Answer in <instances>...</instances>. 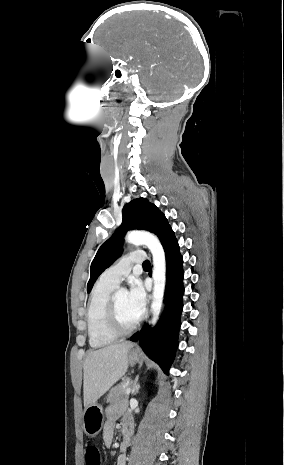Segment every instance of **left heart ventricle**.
I'll return each instance as SVG.
<instances>
[{
	"label": "left heart ventricle",
	"mask_w": 284,
	"mask_h": 465,
	"mask_svg": "<svg viewBox=\"0 0 284 465\" xmlns=\"http://www.w3.org/2000/svg\"><path fill=\"white\" fill-rule=\"evenodd\" d=\"M115 298L120 317L119 325L122 329H129L137 322L140 315L131 308L127 293H119Z\"/></svg>",
	"instance_id": "obj_1"
}]
</instances>
